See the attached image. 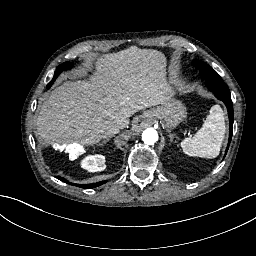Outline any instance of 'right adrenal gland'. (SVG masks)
<instances>
[{
  "mask_svg": "<svg viewBox=\"0 0 256 256\" xmlns=\"http://www.w3.org/2000/svg\"><path fill=\"white\" fill-rule=\"evenodd\" d=\"M107 142H108V140H103L99 146H101V147H102V146H103V144H105V143H107Z\"/></svg>",
  "mask_w": 256,
  "mask_h": 256,
  "instance_id": "right-adrenal-gland-1",
  "label": "right adrenal gland"
}]
</instances>
